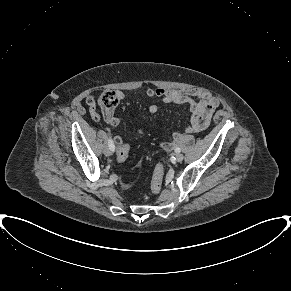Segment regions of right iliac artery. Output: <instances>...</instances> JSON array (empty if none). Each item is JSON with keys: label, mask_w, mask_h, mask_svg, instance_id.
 Here are the masks:
<instances>
[{"label": "right iliac artery", "mask_w": 291, "mask_h": 291, "mask_svg": "<svg viewBox=\"0 0 291 291\" xmlns=\"http://www.w3.org/2000/svg\"><path fill=\"white\" fill-rule=\"evenodd\" d=\"M108 146L112 151L115 150V145H114L113 140L111 138H109V140H108Z\"/></svg>", "instance_id": "1"}]
</instances>
